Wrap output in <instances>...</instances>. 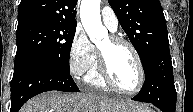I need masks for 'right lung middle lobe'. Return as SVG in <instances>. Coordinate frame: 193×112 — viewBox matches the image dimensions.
<instances>
[{"mask_svg":"<svg viewBox=\"0 0 193 112\" xmlns=\"http://www.w3.org/2000/svg\"><path fill=\"white\" fill-rule=\"evenodd\" d=\"M75 31L76 25L61 23H38L17 29L14 70L44 61L70 72L69 57Z\"/></svg>","mask_w":193,"mask_h":112,"instance_id":"1","label":"right lung middle lobe"}]
</instances>
